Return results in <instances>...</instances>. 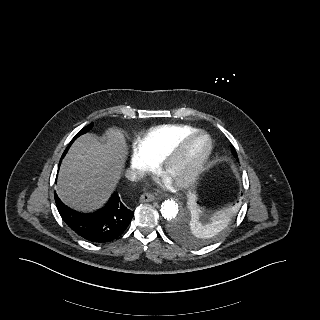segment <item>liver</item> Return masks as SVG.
Here are the masks:
<instances>
[{"label": "liver", "mask_w": 320, "mask_h": 320, "mask_svg": "<svg viewBox=\"0 0 320 320\" xmlns=\"http://www.w3.org/2000/svg\"><path fill=\"white\" fill-rule=\"evenodd\" d=\"M124 149V135L115 128L106 132L105 143L90 134L76 140L58 173L55 188L61 201L77 211L100 207L119 179Z\"/></svg>", "instance_id": "6515ba94"}]
</instances>
